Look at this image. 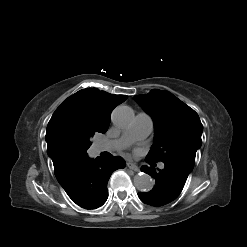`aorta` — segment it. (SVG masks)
Here are the masks:
<instances>
[{
  "label": "aorta",
  "instance_id": "1",
  "mask_svg": "<svg viewBox=\"0 0 247 247\" xmlns=\"http://www.w3.org/2000/svg\"><path fill=\"white\" fill-rule=\"evenodd\" d=\"M133 118V110L124 105L116 107L112 113L113 123L120 128L128 127L132 123ZM134 185L139 191L148 192L152 190L154 181L148 174L140 173L134 177Z\"/></svg>",
  "mask_w": 247,
  "mask_h": 247
}]
</instances>
